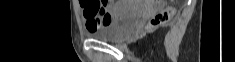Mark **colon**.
<instances>
[{
    "label": "colon",
    "mask_w": 235,
    "mask_h": 62,
    "mask_svg": "<svg viewBox=\"0 0 235 62\" xmlns=\"http://www.w3.org/2000/svg\"><path fill=\"white\" fill-rule=\"evenodd\" d=\"M87 5V14L90 16H96L98 19L104 20L108 23V13L104 6L99 1H84ZM174 14V9L169 7L160 13L156 14L150 21V27H157L167 23ZM105 23V24H106Z\"/></svg>",
    "instance_id": "1"
}]
</instances>
